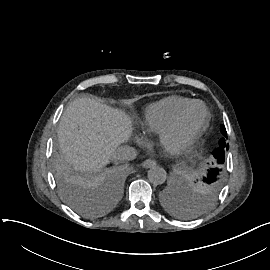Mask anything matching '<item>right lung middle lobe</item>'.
Listing matches in <instances>:
<instances>
[{
    "label": "right lung middle lobe",
    "instance_id": "right-lung-middle-lobe-1",
    "mask_svg": "<svg viewBox=\"0 0 270 270\" xmlns=\"http://www.w3.org/2000/svg\"><path fill=\"white\" fill-rule=\"evenodd\" d=\"M55 177L60 195L73 210L84 216L96 215V211L90 207L89 201L78 183L63 167L56 168Z\"/></svg>",
    "mask_w": 270,
    "mask_h": 270
}]
</instances>
